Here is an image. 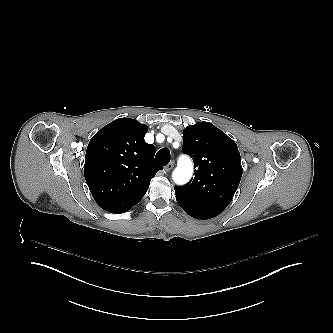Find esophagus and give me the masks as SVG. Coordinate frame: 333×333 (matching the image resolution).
<instances>
[{
    "label": "esophagus",
    "mask_w": 333,
    "mask_h": 333,
    "mask_svg": "<svg viewBox=\"0 0 333 333\" xmlns=\"http://www.w3.org/2000/svg\"><path fill=\"white\" fill-rule=\"evenodd\" d=\"M173 167H174V162L171 161V162L165 167V171H166V172H169Z\"/></svg>",
    "instance_id": "esophagus-1"
}]
</instances>
